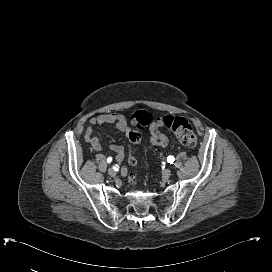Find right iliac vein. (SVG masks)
Listing matches in <instances>:
<instances>
[{
    "mask_svg": "<svg viewBox=\"0 0 272 272\" xmlns=\"http://www.w3.org/2000/svg\"><path fill=\"white\" fill-rule=\"evenodd\" d=\"M108 175L111 177H115L116 176V171L112 168L108 169Z\"/></svg>",
    "mask_w": 272,
    "mask_h": 272,
    "instance_id": "obj_1",
    "label": "right iliac vein"
}]
</instances>
